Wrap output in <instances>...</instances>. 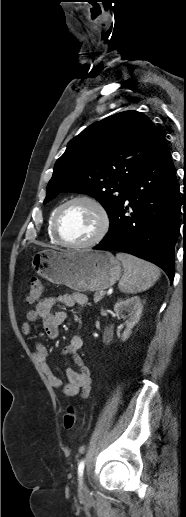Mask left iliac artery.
Here are the masks:
<instances>
[{
	"label": "left iliac artery",
	"instance_id": "obj_1",
	"mask_svg": "<svg viewBox=\"0 0 186 517\" xmlns=\"http://www.w3.org/2000/svg\"><path fill=\"white\" fill-rule=\"evenodd\" d=\"M84 466H85V461L81 460L79 465H78V476H79L80 479H82V476H83Z\"/></svg>",
	"mask_w": 186,
	"mask_h": 517
}]
</instances>
